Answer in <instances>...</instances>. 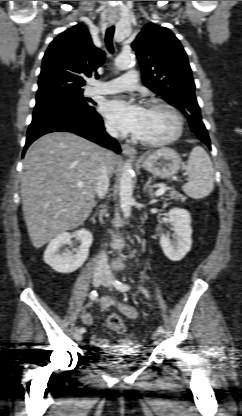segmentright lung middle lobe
Masks as SVG:
<instances>
[{"label":"right lung middle lobe","mask_w":242,"mask_h":416,"mask_svg":"<svg viewBox=\"0 0 242 416\" xmlns=\"http://www.w3.org/2000/svg\"><path fill=\"white\" fill-rule=\"evenodd\" d=\"M83 90L78 88H60L57 91L36 97V105H40L48 102H62L72 106H79L87 108L91 104H95L92 100L84 98Z\"/></svg>","instance_id":"1"}]
</instances>
